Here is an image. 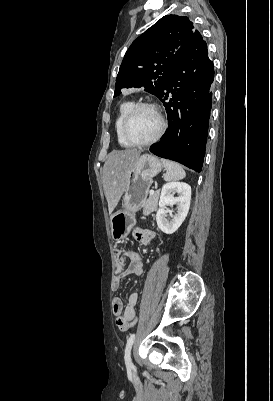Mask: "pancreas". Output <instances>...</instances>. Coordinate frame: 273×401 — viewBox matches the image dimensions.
Listing matches in <instances>:
<instances>
[{"label":"pancreas","mask_w":273,"mask_h":401,"mask_svg":"<svg viewBox=\"0 0 273 401\" xmlns=\"http://www.w3.org/2000/svg\"><path fill=\"white\" fill-rule=\"evenodd\" d=\"M158 198L159 190H155L152 196H149V198H147V201H145L143 207V215H145V217H148V215H150V213H153V211H157Z\"/></svg>","instance_id":"pancreas-1"}]
</instances>
